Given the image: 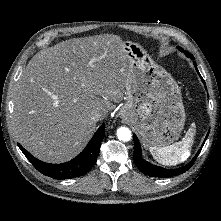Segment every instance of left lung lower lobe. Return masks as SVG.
<instances>
[{"mask_svg":"<svg viewBox=\"0 0 221 221\" xmlns=\"http://www.w3.org/2000/svg\"><path fill=\"white\" fill-rule=\"evenodd\" d=\"M189 57L193 59L192 56H189ZM194 65L196 66L195 62H194ZM196 70H197V73L200 75L197 68H196ZM201 79H202L203 83H205L203 78H201ZM204 143H205V141L203 142L202 147H203ZM202 147L197 152V154L192 159V161H190L186 166L181 167L179 169H165V168L155 166V165L145 161L142 158L141 147H140L139 140L136 137V135H134V162H135L136 166L139 168V170L141 172H143L144 174L148 175V176L161 177V178H163V177H172V176L179 175V174H182L185 171H187L193 165V163L196 160L197 156L199 155Z\"/></svg>","mask_w":221,"mask_h":221,"instance_id":"obj_1","label":"left lung lower lobe"}]
</instances>
